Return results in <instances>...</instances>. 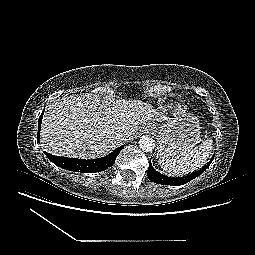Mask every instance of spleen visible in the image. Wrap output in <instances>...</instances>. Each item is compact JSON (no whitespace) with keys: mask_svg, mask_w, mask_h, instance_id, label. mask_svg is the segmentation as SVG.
<instances>
[{"mask_svg":"<svg viewBox=\"0 0 255 255\" xmlns=\"http://www.w3.org/2000/svg\"><path fill=\"white\" fill-rule=\"evenodd\" d=\"M213 140L208 138L198 147L184 151L177 156H159V164L166 172L173 175H184L201 168L211 154Z\"/></svg>","mask_w":255,"mask_h":255,"instance_id":"spleen-1","label":"spleen"}]
</instances>
